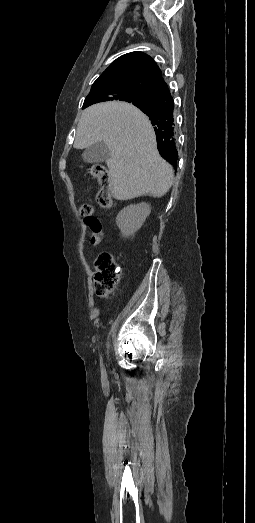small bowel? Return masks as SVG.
Instances as JSON below:
<instances>
[{"mask_svg": "<svg viewBox=\"0 0 255 523\" xmlns=\"http://www.w3.org/2000/svg\"><path fill=\"white\" fill-rule=\"evenodd\" d=\"M90 230L89 243L93 246L98 245L102 239V225L97 218H93L90 222H86Z\"/></svg>", "mask_w": 255, "mask_h": 523, "instance_id": "small-bowel-1", "label": "small bowel"}]
</instances>
